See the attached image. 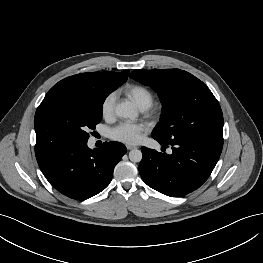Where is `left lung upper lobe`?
Segmentation results:
<instances>
[{
	"label": "left lung upper lobe",
	"instance_id": "left-lung-upper-lobe-1",
	"mask_svg": "<svg viewBox=\"0 0 263 263\" xmlns=\"http://www.w3.org/2000/svg\"><path fill=\"white\" fill-rule=\"evenodd\" d=\"M130 77L158 92L163 104L153 138L169 143L180 138L223 137L221 107L192 74L180 69L135 70Z\"/></svg>",
	"mask_w": 263,
	"mask_h": 263
}]
</instances>
